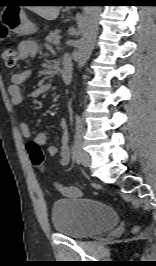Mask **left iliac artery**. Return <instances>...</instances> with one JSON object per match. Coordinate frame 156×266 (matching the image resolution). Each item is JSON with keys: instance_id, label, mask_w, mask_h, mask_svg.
<instances>
[{"instance_id": "44dca946", "label": "left iliac artery", "mask_w": 156, "mask_h": 266, "mask_svg": "<svg viewBox=\"0 0 156 266\" xmlns=\"http://www.w3.org/2000/svg\"><path fill=\"white\" fill-rule=\"evenodd\" d=\"M75 140L73 146V154L76 158L79 157L81 148H82V138H83V123L80 116L76 115L75 117Z\"/></svg>"}]
</instances>
